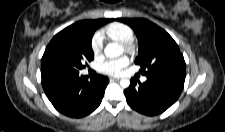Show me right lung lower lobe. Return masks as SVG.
<instances>
[{
    "mask_svg": "<svg viewBox=\"0 0 225 132\" xmlns=\"http://www.w3.org/2000/svg\"><path fill=\"white\" fill-rule=\"evenodd\" d=\"M109 79L97 75L93 80L86 76H42V86L53 106L69 117H83L101 103Z\"/></svg>",
    "mask_w": 225,
    "mask_h": 132,
    "instance_id": "98d812e1",
    "label": "right lung lower lobe"
}]
</instances>
